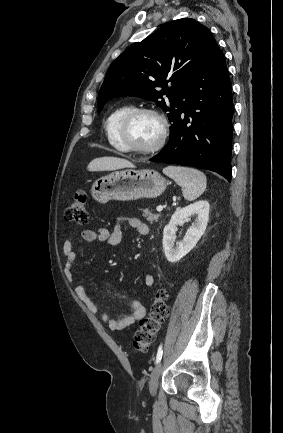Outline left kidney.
Returning a JSON list of instances; mask_svg holds the SVG:
<instances>
[{
  "label": "left kidney",
  "mask_w": 283,
  "mask_h": 433,
  "mask_svg": "<svg viewBox=\"0 0 283 433\" xmlns=\"http://www.w3.org/2000/svg\"><path fill=\"white\" fill-rule=\"evenodd\" d=\"M209 203L205 200L197 201L184 208L178 209L171 217L163 231V249L167 260L175 263L188 254L200 240L206 230L209 220ZM196 215L195 222L189 227L183 240L175 244L177 225Z\"/></svg>",
  "instance_id": "5707ae66"
}]
</instances>
